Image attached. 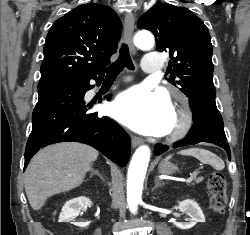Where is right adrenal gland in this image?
Wrapping results in <instances>:
<instances>
[{
	"instance_id": "1",
	"label": "right adrenal gland",
	"mask_w": 250,
	"mask_h": 235,
	"mask_svg": "<svg viewBox=\"0 0 250 235\" xmlns=\"http://www.w3.org/2000/svg\"><path fill=\"white\" fill-rule=\"evenodd\" d=\"M94 175H97L103 182H105L104 176H102V175L98 172V170H96V169H92V170H91L90 177L92 178Z\"/></svg>"
}]
</instances>
